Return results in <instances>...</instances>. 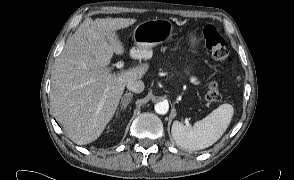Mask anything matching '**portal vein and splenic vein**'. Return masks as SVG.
<instances>
[{"mask_svg": "<svg viewBox=\"0 0 294 180\" xmlns=\"http://www.w3.org/2000/svg\"><path fill=\"white\" fill-rule=\"evenodd\" d=\"M115 66H116L117 69H120V70H121V69L124 67V63L121 62V61H119V62H117V63L115 64Z\"/></svg>", "mask_w": 294, "mask_h": 180, "instance_id": "1", "label": "portal vein and splenic vein"}]
</instances>
